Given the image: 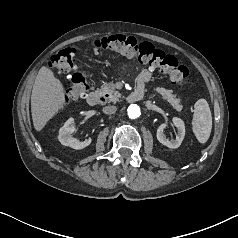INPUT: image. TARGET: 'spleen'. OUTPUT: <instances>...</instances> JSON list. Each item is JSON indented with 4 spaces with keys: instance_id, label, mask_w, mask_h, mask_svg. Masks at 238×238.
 Returning <instances> with one entry per match:
<instances>
[{
    "instance_id": "spleen-1",
    "label": "spleen",
    "mask_w": 238,
    "mask_h": 238,
    "mask_svg": "<svg viewBox=\"0 0 238 238\" xmlns=\"http://www.w3.org/2000/svg\"><path fill=\"white\" fill-rule=\"evenodd\" d=\"M192 130L197 140L204 144L210 137L212 130V114L208 102L199 99L194 105Z\"/></svg>"
}]
</instances>
